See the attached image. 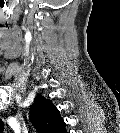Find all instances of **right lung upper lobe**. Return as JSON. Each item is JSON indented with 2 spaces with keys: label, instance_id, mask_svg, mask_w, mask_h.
Returning a JSON list of instances; mask_svg holds the SVG:
<instances>
[{
  "label": "right lung upper lobe",
  "instance_id": "obj_1",
  "mask_svg": "<svg viewBox=\"0 0 120 133\" xmlns=\"http://www.w3.org/2000/svg\"><path fill=\"white\" fill-rule=\"evenodd\" d=\"M30 112L32 123L39 132H65V123L60 117L58 109L53 107L50 100L38 94L31 105Z\"/></svg>",
  "mask_w": 120,
  "mask_h": 133
}]
</instances>
